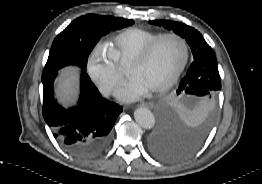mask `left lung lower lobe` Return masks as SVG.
<instances>
[{
  "instance_id": "1",
  "label": "left lung lower lobe",
  "mask_w": 262,
  "mask_h": 184,
  "mask_svg": "<svg viewBox=\"0 0 262 184\" xmlns=\"http://www.w3.org/2000/svg\"><path fill=\"white\" fill-rule=\"evenodd\" d=\"M215 68L218 72L215 55L204 56L196 61ZM219 73V72H218ZM207 129L193 136L179 135L163 120H160L149 138V149L160 160L167 162L181 161L194 155L207 139Z\"/></svg>"
}]
</instances>
